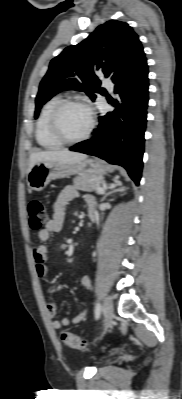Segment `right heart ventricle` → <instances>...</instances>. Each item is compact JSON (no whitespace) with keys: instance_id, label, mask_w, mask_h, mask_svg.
Returning <instances> with one entry per match:
<instances>
[{"instance_id":"e07e8e85","label":"right heart ventricle","mask_w":182,"mask_h":399,"mask_svg":"<svg viewBox=\"0 0 182 399\" xmlns=\"http://www.w3.org/2000/svg\"><path fill=\"white\" fill-rule=\"evenodd\" d=\"M63 99L61 96H54L43 106L36 123L35 136L38 144L46 149H56L62 145L51 133L50 116L55 106Z\"/></svg>"}]
</instances>
